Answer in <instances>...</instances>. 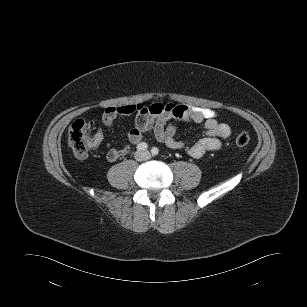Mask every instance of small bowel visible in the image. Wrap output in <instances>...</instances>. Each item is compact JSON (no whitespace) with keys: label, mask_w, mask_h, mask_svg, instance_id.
<instances>
[{"label":"small bowel","mask_w":307,"mask_h":307,"mask_svg":"<svg viewBox=\"0 0 307 307\" xmlns=\"http://www.w3.org/2000/svg\"><path fill=\"white\" fill-rule=\"evenodd\" d=\"M136 114L135 125L128 132V141L131 145L142 142L144 133H152L157 141L164 143L171 149L184 150L193 158H201L206 152L218 151L222 141L231 134L229 125L220 123L212 109L192 107L178 104L154 103L149 106L143 104H127L119 107H109L103 114V122L111 125L122 116ZM191 121L202 124L204 135L193 144H186L176 139V127L172 121ZM104 139V132L98 128L93 135V148H97ZM129 145L110 149L107 153L109 161L128 154Z\"/></svg>","instance_id":"c3829d8e"}]
</instances>
